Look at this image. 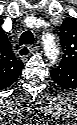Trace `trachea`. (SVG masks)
Here are the masks:
<instances>
[{
	"label": "trachea",
	"instance_id": "1",
	"mask_svg": "<svg viewBox=\"0 0 77 125\" xmlns=\"http://www.w3.org/2000/svg\"><path fill=\"white\" fill-rule=\"evenodd\" d=\"M33 42H34V36H33V33L29 30L25 31L20 36V39H19L20 45L33 44Z\"/></svg>",
	"mask_w": 77,
	"mask_h": 125
}]
</instances>
